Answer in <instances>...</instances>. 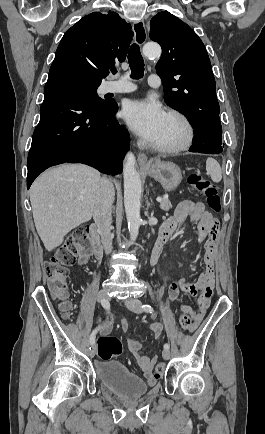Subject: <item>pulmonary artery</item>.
<instances>
[{
	"label": "pulmonary artery",
	"mask_w": 265,
	"mask_h": 434,
	"mask_svg": "<svg viewBox=\"0 0 265 434\" xmlns=\"http://www.w3.org/2000/svg\"><path fill=\"white\" fill-rule=\"evenodd\" d=\"M149 83H154L157 81L156 76L151 75L148 77ZM155 84V83H154ZM141 83L138 81H115L114 87L109 88V92L111 93H128L133 90H138L141 88Z\"/></svg>",
	"instance_id": "obj_1"
}]
</instances>
